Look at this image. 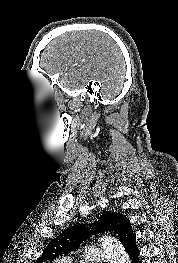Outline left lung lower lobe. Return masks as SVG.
I'll list each match as a JSON object with an SVG mask.
<instances>
[{
	"mask_svg": "<svg viewBox=\"0 0 178 263\" xmlns=\"http://www.w3.org/2000/svg\"><path fill=\"white\" fill-rule=\"evenodd\" d=\"M119 240L124 245L126 251L128 252L129 257L132 260V263H141V261L137 260L140 251L135 244L136 237L131 229L129 219L124 224L120 232Z\"/></svg>",
	"mask_w": 178,
	"mask_h": 263,
	"instance_id": "0a47b994",
	"label": "left lung lower lobe"
}]
</instances>
